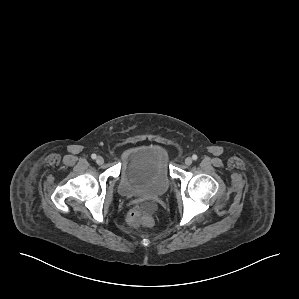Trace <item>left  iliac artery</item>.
Returning <instances> with one entry per match:
<instances>
[{
  "label": "left iliac artery",
  "mask_w": 299,
  "mask_h": 299,
  "mask_svg": "<svg viewBox=\"0 0 299 299\" xmlns=\"http://www.w3.org/2000/svg\"><path fill=\"white\" fill-rule=\"evenodd\" d=\"M197 158H198V157H197V155H195V154L192 156V159H193V160H197Z\"/></svg>",
  "instance_id": "obj_1"
}]
</instances>
